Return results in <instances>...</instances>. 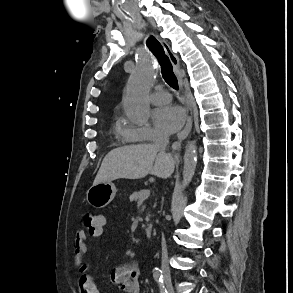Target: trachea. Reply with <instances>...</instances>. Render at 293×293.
<instances>
[{
    "instance_id": "obj_1",
    "label": "trachea",
    "mask_w": 293,
    "mask_h": 293,
    "mask_svg": "<svg viewBox=\"0 0 293 293\" xmlns=\"http://www.w3.org/2000/svg\"><path fill=\"white\" fill-rule=\"evenodd\" d=\"M148 48L152 51V53L157 57L160 65H161V73L162 77L166 81V83L172 88H178V81L173 72V67L170 62L169 57L165 54L164 49L160 42L154 37L150 36L146 42Z\"/></svg>"
}]
</instances>
